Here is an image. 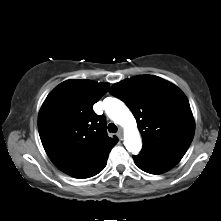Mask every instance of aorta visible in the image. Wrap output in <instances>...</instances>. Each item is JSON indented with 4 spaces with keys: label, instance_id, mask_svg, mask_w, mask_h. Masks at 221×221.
<instances>
[{
    "label": "aorta",
    "instance_id": "aorta-1",
    "mask_svg": "<svg viewBox=\"0 0 221 221\" xmlns=\"http://www.w3.org/2000/svg\"><path fill=\"white\" fill-rule=\"evenodd\" d=\"M104 105L109 118L124 127L126 149L132 154H138L142 148V141L133 114L122 101L116 98H107Z\"/></svg>",
    "mask_w": 221,
    "mask_h": 221
}]
</instances>
